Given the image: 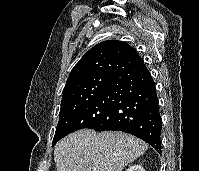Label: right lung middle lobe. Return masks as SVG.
Masks as SVG:
<instances>
[{
    "mask_svg": "<svg viewBox=\"0 0 199 171\" xmlns=\"http://www.w3.org/2000/svg\"><path fill=\"white\" fill-rule=\"evenodd\" d=\"M113 77V75L109 74L96 75L81 82L70 90L63 92L59 112L60 118L56 127L52 146H54L56 142L61 139L65 128L83 107V105L87 103L92 96L104 85H106Z\"/></svg>",
    "mask_w": 199,
    "mask_h": 171,
    "instance_id": "1",
    "label": "right lung middle lobe"
}]
</instances>
